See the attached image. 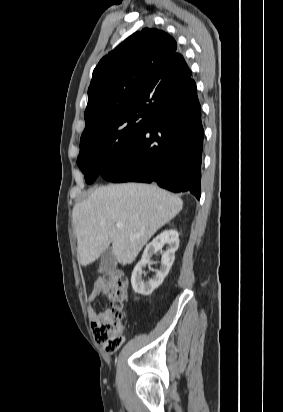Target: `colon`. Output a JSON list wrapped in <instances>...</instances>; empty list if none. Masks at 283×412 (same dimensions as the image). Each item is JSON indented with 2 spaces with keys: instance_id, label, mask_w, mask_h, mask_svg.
I'll return each mask as SVG.
<instances>
[{
  "instance_id": "5ec220e1",
  "label": "colon",
  "mask_w": 283,
  "mask_h": 412,
  "mask_svg": "<svg viewBox=\"0 0 283 412\" xmlns=\"http://www.w3.org/2000/svg\"><path fill=\"white\" fill-rule=\"evenodd\" d=\"M111 308L92 323V332L97 344L107 353L116 352L124 342V314L127 302V278L120 272L105 275Z\"/></svg>"
}]
</instances>
